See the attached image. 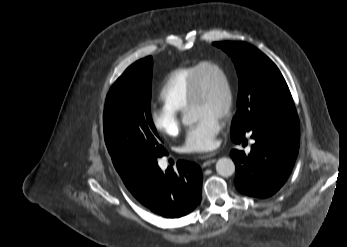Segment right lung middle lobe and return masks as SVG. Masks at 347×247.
I'll use <instances>...</instances> for the list:
<instances>
[{"label":"right lung middle lobe","instance_id":"right-lung-middle-lobe-1","mask_svg":"<svg viewBox=\"0 0 347 247\" xmlns=\"http://www.w3.org/2000/svg\"><path fill=\"white\" fill-rule=\"evenodd\" d=\"M151 68V57L135 62L107 95L104 136L119 174L166 154L150 114Z\"/></svg>","mask_w":347,"mask_h":247}]
</instances>
